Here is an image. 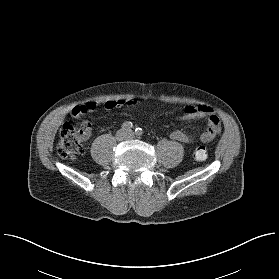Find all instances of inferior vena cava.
<instances>
[{"mask_svg":"<svg viewBox=\"0 0 279 279\" xmlns=\"http://www.w3.org/2000/svg\"><path fill=\"white\" fill-rule=\"evenodd\" d=\"M132 136H133V133L132 132H130V131H126L125 132V134H124V136H123V138L124 139H129V138H132Z\"/></svg>","mask_w":279,"mask_h":279,"instance_id":"obj_1","label":"inferior vena cava"}]
</instances>
